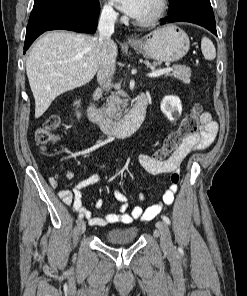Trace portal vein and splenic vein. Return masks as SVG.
I'll return each instance as SVG.
<instances>
[{
	"mask_svg": "<svg viewBox=\"0 0 247 296\" xmlns=\"http://www.w3.org/2000/svg\"><path fill=\"white\" fill-rule=\"evenodd\" d=\"M171 71H173V67H166V68L155 70L151 73H148L147 76L151 78H155Z\"/></svg>",
	"mask_w": 247,
	"mask_h": 296,
	"instance_id": "obj_1",
	"label": "portal vein and splenic vein"
}]
</instances>
